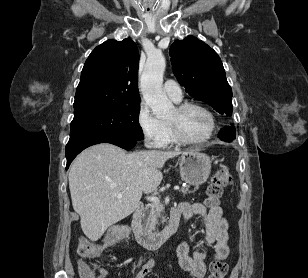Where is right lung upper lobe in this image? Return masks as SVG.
<instances>
[{"mask_svg":"<svg viewBox=\"0 0 308 278\" xmlns=\"http://www.w3.org/2000/svg\"><path fill=\"white\" fill-rule=\"evenodd\" d=\"M139 52L130 39L107 40L89 55L76 89L74 115L140 104L137 84Z\"/></svg>","mask_w":308,"mask_h":278,"instance_id":"obj_1","label":"right lung upper lobe"}]
</instances>
